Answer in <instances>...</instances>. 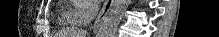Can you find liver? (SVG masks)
I'll return each instance as SVG.
<instances>
[{
    "label": "liver",
    "mask_w": 219,
    "mask_h": 37,
    "mask_svg": "<svg viewBox=\"0 0 219 37\" xmlns=\"http://www.w3.org/2000/svg\"><path fill=\"white\" fill-rule=\"evenodd\" d=\"M77 35H86V34L83 33V32H82V33L80 32V33H78ZM78 37H86V36H78Z\"/></svg>",
    "instance_id": "obj_1"
}]
</instances>
